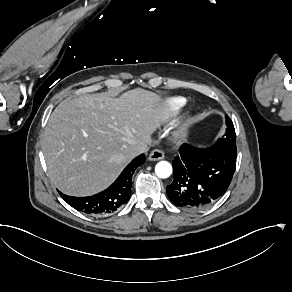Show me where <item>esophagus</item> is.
Wrapping results in <instances>:
<instances>
[{
  "label": "esophagus",
  "mask_w": 292,
  "mask_h": 292,
  "mask_svg": "<svg viewBox=\"0 0 292 292\" xmlns=\"http://www.w3.org/2000/svg\"><path fill=\"white\" fill-rule=\"evenodd\" d=\"M164 158V152L160 149H154L148 156V159L151 161H158Z\"/></svg>",
  "instance_id": "esophagus-1"
}]
</instances>
